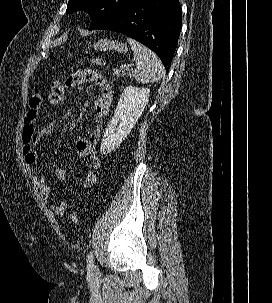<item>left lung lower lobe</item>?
<instances>
[{"instance_id": "obj_1", "label": "left lung lower lobe", "mask_w": 272, "mask_h": 303, "mask_svg": "<svg viewBox=\"0 0 272 303\" xmlns=\"http://www.w3.org/2000/svg\"><path fill=\"white\" fill-rule=\"evenodd\" d=\"M181 15L179 0H139L96 29L134 38L153 50L168 71L182 27Z\"/></svg>"}]
</instances>
